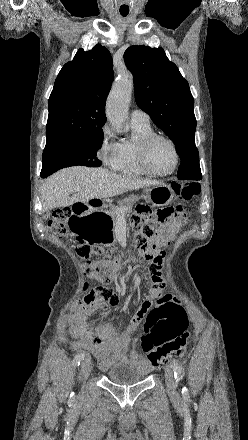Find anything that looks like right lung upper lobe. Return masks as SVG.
Segmentation results:
<instances>
[{"instance_id": "obj_1", "label": "right lung upper lobe", "mask_w": 248, "mask_h": 440, "mask_svg": "<svg viewBox=\"0 0 248 440\" xmlns=\"http://www.w3.org/2000/svg\"><path fill=\"white\" fill-rule=\"evenodd\" d=\"M112 81V57L107 48L97 44L90 51L79 49L59 72L50 95L47 142L102 128Z\"/></svg>"}]
</instances>
